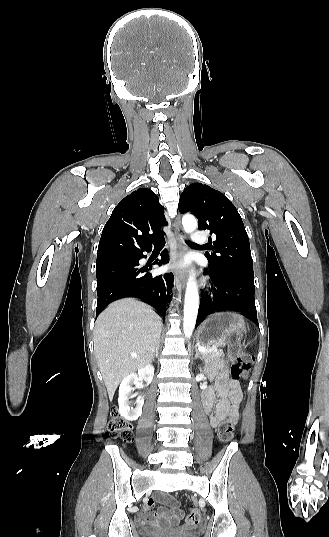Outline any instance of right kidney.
<instances>
[{
  "instance_id": "1",
  "label": "right kidney",
  "mask_w": 329,
  "mask_h": 537,
  "mask_svg": "<svg viewBox=\"0 0 329 537\" xmlns=\"http://www.w3.org/2000/svg\"><path fill=\"white\" fill-rule=\"evenodd\" d=\"M154 376V367L147 365L141 368L138 373H131L126 376L119 387V413L128 421L137 420L142 414V407L144 404V398L138 397L135 401L134 407H130V395L133 390V385L138 386L141 380H144L149 385Z\"/></svg>"
}]
</instances>
